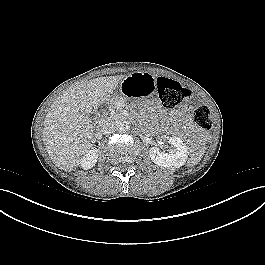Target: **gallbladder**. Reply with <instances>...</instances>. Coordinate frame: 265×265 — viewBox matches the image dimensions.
<instances>
[{
	"label": "gallbladder",
	"instance_id": "gallbladder-1",
	"mask_svg": "<svg viewBox=\"0 0 265 265\" xmlns=\"http://www.w3.org/2000/svg\"><path fill=\"white\" fill-rule=\"evenodd\" d=\"M89 117H90L91 119H94V118H95V115H94V114H89Z\"/></svg>",
	"mask_w": 265,
	"mask_h": 265
}]
</instances>
